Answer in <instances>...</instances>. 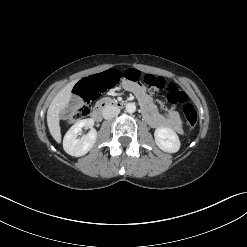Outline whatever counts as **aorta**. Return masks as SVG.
I'll return each instance as SVG.
<instances>
[{
  "instance_id": "aorta-1",
  "label": "aorta",
  "mask_w": 247,
  "mask_h": 247,
  "mask_svg": "<svg viewBox=\"0 0 247 247\" xmlns=\"http://www.w3.org/2000/svg\"><path fill=\"white\" fill-rule=\"evenodd\" d=\"M136 111V105L134 103H127L126 104V112L134 113Z\"/></svg>"
}]
</instances>
